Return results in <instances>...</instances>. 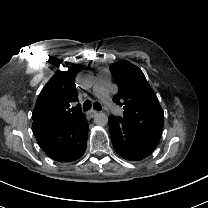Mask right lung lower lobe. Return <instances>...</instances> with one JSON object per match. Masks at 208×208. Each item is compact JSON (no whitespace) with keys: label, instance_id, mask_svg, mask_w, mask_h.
Returning a JSON list of instances; mask_svg holds the SVG:
<instances>
[{"label":"right lung lower lobe","instance_id":"1","mask_svg":"<svg viewBox=\"0 0 208 208\" xmlns=\"http://www.w3.org/2000/svg\"><path fill=\"white\" fill-rule=\"evenodd\" d=\"M33 133L51 159L72 162L82 157L86 150L88 122L84 115L69 124L33 130Z\"/></svg>","mask_w":208,"mask_h":208}]
</instances>
